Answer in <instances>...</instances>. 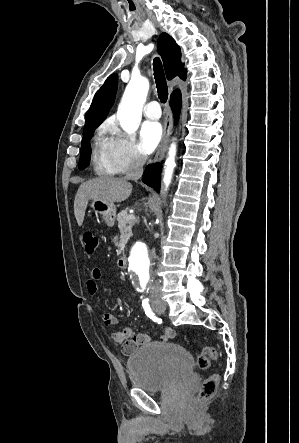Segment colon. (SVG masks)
I'll list each match as a JSON object with an SVG mask.
<instances>
[{"instance_id": "5ec220e1", "label": "colon", "mask_w": 299, "mask_h": 443, "mask_svg": "<svg viewBox=\"0 0 299 443\" xmlns=\"http://www.w3.org/2000/svg\"><path fill=\"white\" fill-rule=\"evenodd\" d=\"M81 239L84 249L87 253L92 254L98 247V237L94 230L86 228L81 233ZM217 359V351L212 346H205L197 358V365L201 370H206L211 366L213 360ZM219 376L212 374L206 378L197 395V402L203 403L211 399L218 388Z\"/></svg>"}]
</instances>
